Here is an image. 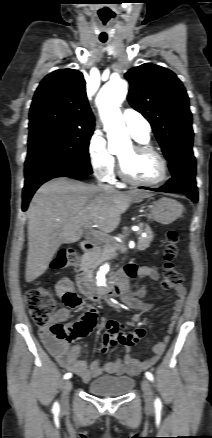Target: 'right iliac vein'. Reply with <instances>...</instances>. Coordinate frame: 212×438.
<instances>
[{"label": "right iliac vein", "instance_id": "63e3f726", "mask_svg": "<svg viewBox=\"0 0 212 438\" xmlns=\"http://www.w3.org/2000/svg\"><path fill=\"white\" fill-rule=\"evenodd\" d=\"M72 389V382L70 380H66L63 383V392L61 396V407L67 408L69 401V393Z\"/></svg>", "mask_w": 212, "mask_h": 438}]
</instances>
